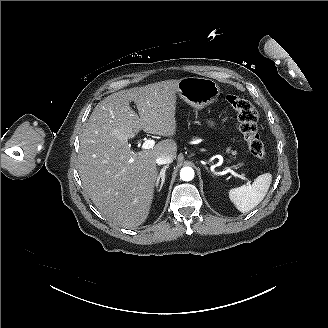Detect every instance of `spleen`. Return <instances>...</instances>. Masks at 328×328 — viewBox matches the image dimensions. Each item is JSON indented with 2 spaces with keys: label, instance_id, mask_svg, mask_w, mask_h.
I'll use <instances>...</instances> for the list:
<instances>
[{
  "label": "spleen",
  "instance_id": "1",
  "mask_svg": "<svg viewBox=\"0 0 328 328\" xmlns=\"http://www.w3.org/2000/svg\"><path fill=\"white\" fill-rule=\"evenodd\" d=\"M271 181L272 175L264 173L252 185L230 189L228 197L239 212H249L258 206L267 195Z\"/></svg>",
  "mask_w": 328,
  "mask_h": 328
}]
</instances>
